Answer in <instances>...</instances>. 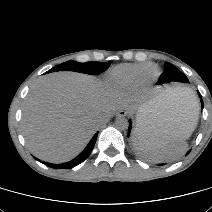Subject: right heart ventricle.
I'll use <instances>...</instances> for the list:
<instances>
[{
  "label": "right heart ventricle",
  "instance_id": "1",
  "mask_svg": "<svg viewBox=\"0 0 212 212\" xmlns=\"http://www.w3.org/2000/svg\"><path fill=\"white\" fill-rule=\"evenodd\" d=\"M157 68L147 64H123L114 68L109 74L111 84L119 89L131 88L139 85L144 78H151L157 74Z\"/></svg>",
  "mask_w": 212,
  "mask_h": 212
}]
</instances>
